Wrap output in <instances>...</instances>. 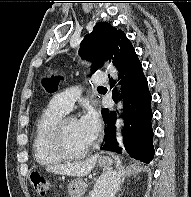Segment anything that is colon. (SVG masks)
Masks as SVG:
<instances>
[{
    "label": "colon",
    "instance_id": "1",
    "mask_svg": "<svg viewBox=\"0 0 191 197\" xmlns=\"http://www.w3.org/2000/svg\"><path fill=\"white\" fill-rule=\"evenodd\" d=\"M31 181H32V184L36 193L42 196L47 194V192L49 191L50 185L45 177H43L42 175L38 173H33L31 175Z\"/></svg>",
    "mask_w": 191,
    "mask_h": 197
}]
</instances>
